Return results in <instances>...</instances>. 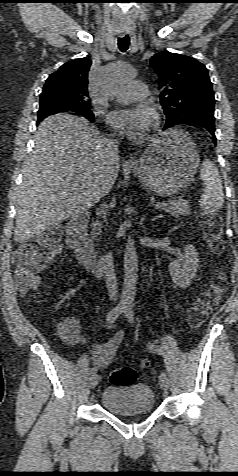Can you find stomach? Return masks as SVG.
Here are the masks:
<instances>
[{
	"label": "stomach",
	"instance_id": "obj_1",
	"mask_svg": "<svg viewBox=\"0 0 238 476\" xmlns=\"http://www.w3.org/2000/svg\"><path fill=\"white\" fill-rule=\"evenodd\" d=\"M199 162L198 151L187 135L170 130L151 141L132 171L154 194L171 196L189 184Z\"/></svg>",
	"mask_w": 238,
	"mask_h": 476
}]
</instances>
